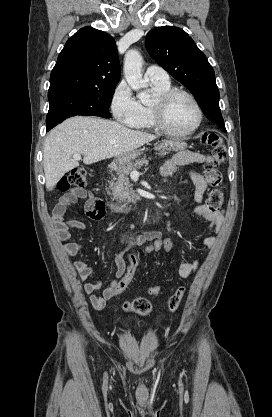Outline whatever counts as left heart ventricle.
<instances>
[{
  "mask_svg": "<svg viewBox=\"0 0 272 417\" xmlns=\"http://www.w3.org/2000/svg\"><path fill=\"white\" fill-rule=\"evenodd\" d=\"M196 120V109L185 96L175 97L166 110L165 121L174 131H187L194 126Z\"/></svg>",
  "mask_w": 272,
  "mask_h": 417,
  "instance_id": "left-heart-ventricle-1",
  "label": "left heart ventricle"
}]
</instances>
